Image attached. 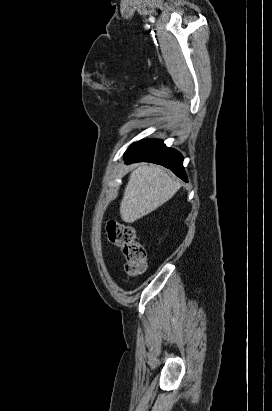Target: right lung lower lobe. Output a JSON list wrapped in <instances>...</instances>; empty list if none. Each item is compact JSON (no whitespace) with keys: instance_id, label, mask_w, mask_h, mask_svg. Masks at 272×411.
<instances>
[{"instance_id":"obj_1","label":"right lung lower lobe","mask_w":272,"mask_h":411,"mask_svg":"<svg viewBox=\"0 0 272 411\" xmlns=\"http://www.w3.org/2000/svg\"><path fill=\"white\" fill-rule=\"evenodd\" d=\"M125 161L128 164L142 161L160 164L172 170L182 180L187 181L182 155L166 147L160 140H141L134 143L126 151Z\"/></svg>"}]
</instances>
